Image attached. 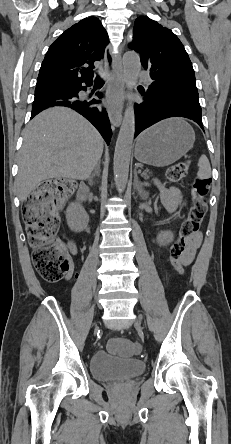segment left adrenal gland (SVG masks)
Returning a JSON list of instances; mask_svg holds the SVG:
<instances>
[{
    "mask_svg": "<svg viewBox=\"0 0 231 444\" xmlns=\"http://www.w3.org/2000/svg\"><path fill=\"white\" fill-rule=\"evenodd\" d=\"M134 189H136L138 191V194L140 195V197L144 200L146 199V192L143 188V184L138 180V176L137 173L135 172V177H134Z\"/></svg>",
    "mask_w": 231,
    "mask_h": 444,
    "instance_id": "a2214340",
    "label": "left adrenal gland"
}]
</instances>
